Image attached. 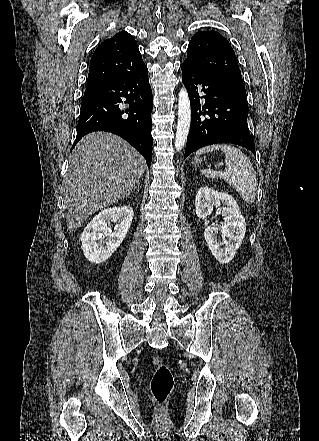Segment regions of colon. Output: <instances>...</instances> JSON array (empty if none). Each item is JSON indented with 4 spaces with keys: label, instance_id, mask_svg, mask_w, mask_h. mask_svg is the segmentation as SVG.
<instances>
[{
    "label": "colon",
    "instance_id": "1",
    "mask_svg": "<svg viewBox=\"0 0 319 441\" xmlns=\"http://www.w3.org/2000/svg\"><path fill=\"white\" fill-rule=\"evenodd\" d=\"M152 364L156 369L151 380L150 389L154 400L162 406L173 390L174 377L161 356H154Z\"/></svg>",
    "mask_w": 319,
    "mask_h": 441
}]
</instances>
